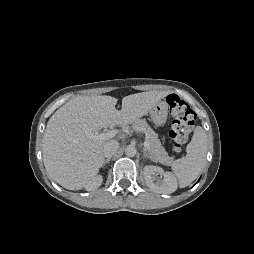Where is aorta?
Wrapping results in <instances>:
<instances>
[{"label": "aorta", "mask_w": 254, "mask_h": 254, "mask_svg": "<svg viewBox=\"0 0 254 254\" xmlns=\"http://www.w3.org/2000/svg\"><path fill=\"white\" fill-rule=\"evenodd\" d=\"M137 153V149L134 145H128L126 148H125V154L129 157H133L135 156Z\"/></svg>", "instance_id": "762f6f07"}]
</instances>
